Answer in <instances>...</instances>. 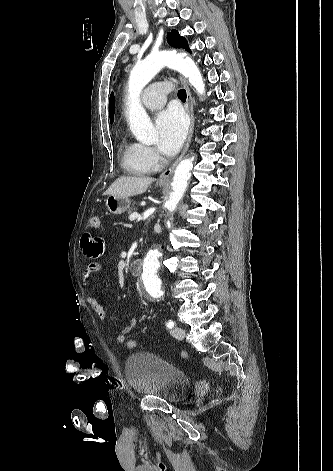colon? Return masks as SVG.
<instances>
[{"instance_id":"5ec220e1","label":"colon","mask_w":333,"mask_h":471,"mask_svg":"<svg viewBox=\"0 0 333 471\" xmlns=\"http://www.w3.org/2000/svg\"><path fill=\"white\" fill-rule=\"evenodd\" d=\"M99 225H100V218H99V216L94 215V216H92V217L89 219V226H90L91 228L96 229V228L99 227ZM125 345H126V347H127L128 349H135V348L138 346L137 342H136L135 340H133V339L127 340L126 343H125Z\"/></svg>"}]
</instances>
